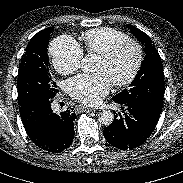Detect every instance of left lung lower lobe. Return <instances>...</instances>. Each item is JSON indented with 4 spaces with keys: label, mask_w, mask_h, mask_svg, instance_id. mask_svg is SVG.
I'll return each instance as SVG.
<instances>
[{
    "label": "left lung lower lobe",
    "mask_w": 183,
    "mask_h": 183,
    "mask_svg": "<svg viewBox=\"0 0 183 183\" xmlns=\"http://www.w3.org/2000/svg\"><path fill=\"white\" fill-rule=\"evenodd\" d=\"M119 104L126 108L127 113L123 112L124 117L115 116L113 123L104 129V137L116 148L122 150L136 148L150 137L160 114L134 102Z\"/></svg>",
    "instance_id": "0a47b994"
}]
</instances>
